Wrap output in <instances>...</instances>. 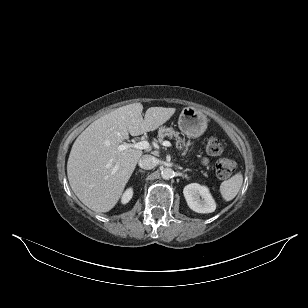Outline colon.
<instances>
[{
	"label": "colon",
	"mask_w": 308,
	"mask_h": 308,
	"mask_svg": "<svg viewBox=\"0 0 308 308\" xmlns=\"http://www.w3.org/2000/svg\"><path fill=\"white\" fill-rule=\"evenodd\" d=\"M206 150L210 155H219L223 151V144L217 137H209L206 142ZM235 169V163L230 159H220L216 164V174L220 179L231 176Z\"/></svg>",
	"instance_id": "colon-1"
}]
</instances>
